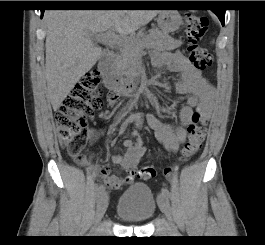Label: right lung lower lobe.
<instances>
[{"label": "right lung lower lobe", "mask_w": 265, "mask_h": 245, "mask_svg": "<svg viewBox=\"0 0 265 245\" xmlns=\"http://www.w3.org/2000/svg\"><path fill=\"white\" fill-rule=\"evenodd\" d=\"M72 6H101V7H110V6H118L117 2L114 1H86L82 4H68ZM45 10H41V17H43Z\"/></svg>", "instance_id": "98d812e1"}]
</instances>
